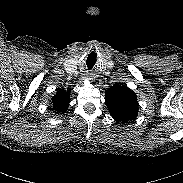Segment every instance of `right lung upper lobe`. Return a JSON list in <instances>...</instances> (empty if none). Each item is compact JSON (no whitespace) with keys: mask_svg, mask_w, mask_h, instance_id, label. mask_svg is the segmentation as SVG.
Masks as SVG:
<instances>
[{"mask_svg":"<svg viewBox=\"0 0 183 183\" xmlns=\"http://www.w3.org/2000/svg\"><path fill=\"white\" fill-rule=\"evenodd\" d=\"M52 109L57 113H63L68 108L70 103V93L64 89H59L57 93L52 97Z\"/></svg>","mask_w":183,"mask_h":183,"instance_id":"right-lung-upper-lobe-1","label":"right lung upper lobe"}]
</instances>
